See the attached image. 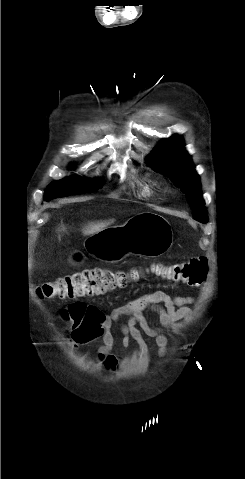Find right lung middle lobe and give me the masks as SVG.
<instances>
[{
  "label": "right lung middle lobe",
  "instance_id": "obj_1",
  "mask_svg": "<svg viewBox=\"0 0 245 479\" xmlns=\"http://www.w3.org/2000/svg\"><path fill=\"white\" fill-rule=\"evenodd\" d=\"M102 181L98 179L84 180L79 178H67L52 182L46 189L44 199L49 201L57 196L66 197L71 194L93 192L101 188Z\"/></svg>",
  "mask_w": 245,
  "mask_h": 479
}]
</instances>
